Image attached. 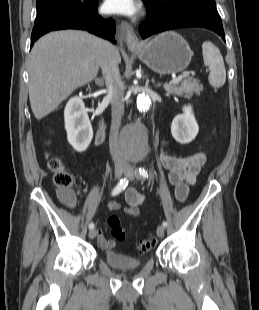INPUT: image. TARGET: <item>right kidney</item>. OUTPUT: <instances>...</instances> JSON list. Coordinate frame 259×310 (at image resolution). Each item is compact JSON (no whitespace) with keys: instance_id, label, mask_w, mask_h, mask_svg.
<instances>
[{"instance_id":"obj_1","label":"right kidney","mask_w":259,"mask_h":310,"mask_svg":"<svg viewBox=\"0 0 259 310\" xmlns=\"http://www.w3.org/2000/svg\"><path fill=\"white\" fill-rule=\"evenodd\" d=\"M65 129L69 144L77 152L85 151L93 137L92 126L80 97L71 98L64 110Z\"/></svg>"}]
</instances>
